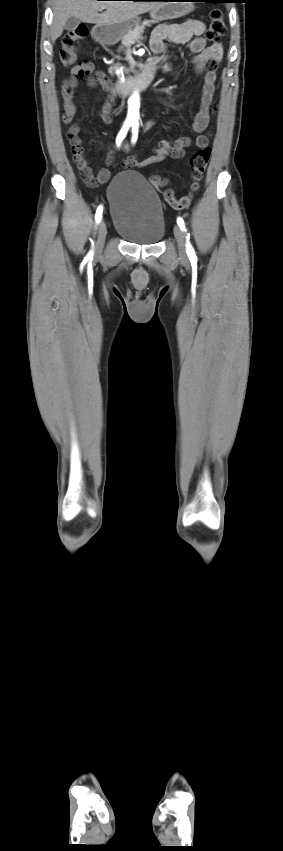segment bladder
I'll use <instances>...</instances> for the list:
<instances>
[{
	"label": "bladder",
	"mask_w": 283,
	"mask_h": 851,
	"mask_svg": "<svg viewBox=\"0 0 283 851\" xmlns=\"http://www.w3.org/2000/svg\"><path fill=\"white\" fill-rule=\"evenodd\" d=\"M115 231L140 245L158 243L165 234L163 206L157 191L132 171L117 174L107 189Z\"/></svg>",
	"instance_id": "bladder-1"
}]
</instances>
